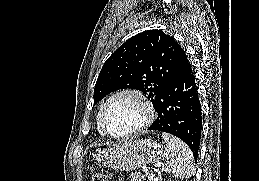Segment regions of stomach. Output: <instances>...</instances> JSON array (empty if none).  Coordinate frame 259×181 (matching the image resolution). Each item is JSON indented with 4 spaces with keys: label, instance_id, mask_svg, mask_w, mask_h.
<instances>
[{
    "label": "stomach",
    "instance_id": "obj_1",
    "mask_svg": "<svg viewBox=\"0 0 259 181\" xmlns=\"http://www.w3.org/2000/svg\"><path fill=\"white\" fill-rule=\"evenodd\" d=\"M163 156L162 146L149 139L132 140L103 150L99 159L111 169L132 171L157 163Z\"/></svg>",
    "mask_w": 259,
    "mask_h": 181
}]
</instances>
